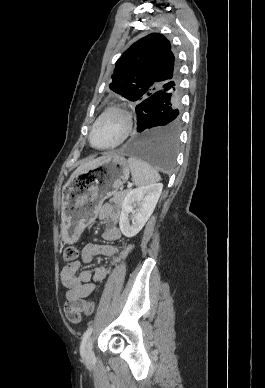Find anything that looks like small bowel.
Returning a JSON list of instances; mask_svg holds the SVG:
<instances>
[{"label": "small bowel", "mask_w": 265, "mask_h": 388, "mask_svg": "<svg viewBox=\"0 0 265 388\" xmlns=\"http://www.w3.org/2000/svg\"><path fill=\"white\" fill-rule=\"evenodd\" d=\"M120 208L111 204H104L98 210V218L107 222L102 236L107 242H115L121 238L118 228L120 220ZM131 245L119 247L112 244H86L80 255V259L72 266H64L61 273V282L67 288L64 312L67 319L77 323L81 319L83 307L87 303L84 299L91 296L95 290V283L104 280L110 273L108 267H96L94 269H83L78 271L82 263L91 262L98 255L112 257L113 265L119 263L129 251Z\"/></svg>", "instance_id": "1"}]
</instances>
